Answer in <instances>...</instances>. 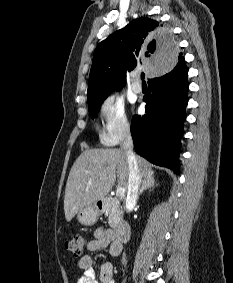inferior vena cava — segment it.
I'll return each mask as SVG.
<instances>
[{
	"label": "inferior vena cava",
	"mask_w": 233,
	"mask_h": 283,
	"mask_svg": "<svg viewBox=\"0 0 233 283\" xmlns=\"http://www.w3.org/2000/svg\"><path fill=\"white\" fill-rule=\"evenodd\" d=\"M121 148L125 151L129 166V178L126 198V209L135 206L139 186L142 182V177L138 168L136 156L133 153V140L130 130H126L123 134Z\"/></svg>",
	"instance_id": "1"
}]
</instances>
